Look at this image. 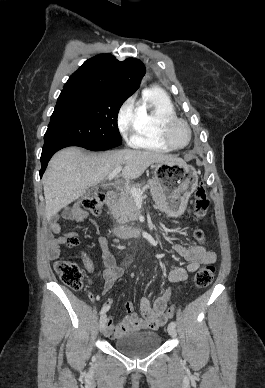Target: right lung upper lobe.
Returning a JSON list of instances; mask_svg holds the SVG:
<instances>
[{
	"label": "right lung upper lobe",
	"mask_w": 265,
	"mask_h": 388,
	"mask_svg": "<svg viewBox=\"0 0 265 388\" xmlns=\"http://www.w3.org/2000/svg\"><path fill=\"white\" fill-rule=\"evenodd\" d=\"M146 72L144 64L129 58L122 62L111 54H100L74 72L62 92H112L131 96Z\"/></svg>",
	"instance_id": "obj_1"
}]
</instances>
